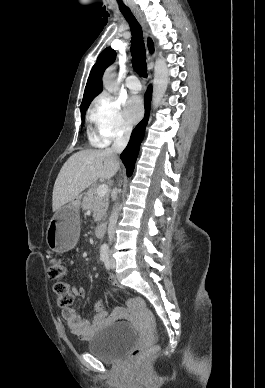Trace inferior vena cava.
I'll use <instances>...</instances> for the list:
<instances>
[{
  "mask_svg": "<svg viewBox=\"0 0 265 388\" xmlns=\"http://www.w3.org/2000/svg\"><path fill=\"white\" fill-rule=\"evenodd\" d=\"M132 132V126H126L122 136H117L114 144H112L110 150L113 152V154H121L123 152L124 148H126L130 136ZM117 196L116 194H113L112 200H116ZM118 220V212L117 210H113L110 218H109V224H108V240L109 242H112L115 234V226L117 224Z\"/></svg>",
  "mask_w": 265,
  "mask_h": 388,
  "instance_id": "inferior-vena-cava-1",
  "label": "inferior vena cava"
}]
</instances>
